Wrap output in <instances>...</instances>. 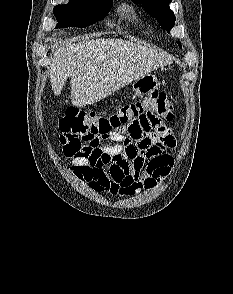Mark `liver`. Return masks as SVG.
<instances>
[{
    "instance_id": "6515ba94",
    "label": "liver",
    "mask_w": 233,
    "mask_h": 294,
    "mask_svg": "<svg viewBox=\"0 0 233 294\" xmlns=\"http://www.w3.org/2000/svg\"><path fill=\"white\" fill-rule=\"evenodd\" d=\"M53 56L52 90L58 96L70 77L71 102L76 107L96 103L171 63V59L152 48L114 38L69 43L56 49Z\"/></svg>"
}]
</instances>
